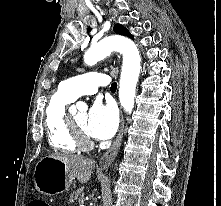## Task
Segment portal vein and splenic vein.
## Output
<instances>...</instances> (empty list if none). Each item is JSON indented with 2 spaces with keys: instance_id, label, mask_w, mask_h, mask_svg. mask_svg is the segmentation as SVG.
Instances as JSON below:
<instances>
[{
  "instance_id": "1",
  "label": "portal vein and splenic vein",
  "mask_w": 221,
  "mask_h": 206,
  "mask_svg": "<svg viewBox=\"0 0 221 206\" xmlns=\"http://www.w3.org/2000/svg\"><path fill=\"white\" fill-rule=\"evenodd\" d=\"M83 203H84V200L81 199V200H80V204H81V206H83Z\"/></svg>"
}]
</instances>
